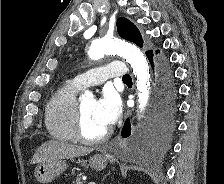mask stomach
I'll return each mask as SVG.
<instances>
[{"label": "stomach", "instance_id": "stomach-1", "mask_svg": "<svg viewBox=\"0 0 224 184\" xmlns=\"http://www.w3.org/2000/svg\"><path fill=\"white\" fill-rule=\"evenodd\" d=\"M81 164L86 166L87 161L82 160ZM108 164V157L104 154H95L89 159V166L97 171H101L106 168ZM67 168L66 161L55 160L47 161L37 165L35 169V178L42 184H48L52 182L56 177L63 173Z\"/></svg>", "mask_w": 224, "mask_h": 184}]
</instances>
